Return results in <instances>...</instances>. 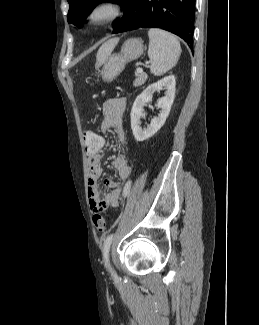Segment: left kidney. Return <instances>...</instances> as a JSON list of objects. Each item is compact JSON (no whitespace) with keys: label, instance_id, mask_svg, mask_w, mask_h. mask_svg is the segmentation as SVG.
<instances>
[{"label":"left kidney","instance_id":"1","mask_svg":"<svg viewBox=\"0 0 259 325\" xmlns=\"http://www.w3.org/2000/svg\"><path fill=\"white\" fill-rule=\"evenodd\" d=\"M175 77L173 75L164 77L157 83L149 85L140 95L135 99L131 110V128L135 139L139 142L147 140L158 132L164 125L174 101L175 97ZM165 89V96L157 100V107L160 108V113L154 117L150 125L146 129L140 127V118L143 115V107L148 102L152 101V96L156 91Z\"/></svg>","mask_w":259,"mask_h":325}]
</instances>
